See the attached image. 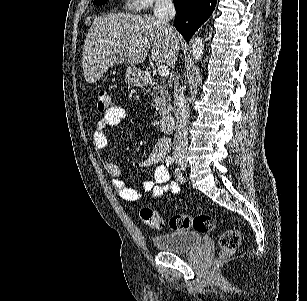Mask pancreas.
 Returning <instances> with one entry per match:
<instances>
[{"mask_svg": "<svg viewBox=\"0 0 307 301\" xmlns=\"http://www.w3.org/2000/svg\"><path fill=\"white\" fill-rule=\"evenodd\" d=\"M149 88H152L154 92L153 106L155 110L157 112H168V108H171V96L166 84L153 80V82H150Z\"/></svg>", "mask_w": 307, "mask_h": 301, "instance_id": "pancreas-1", "label": "pancreas"}]
</instances>
